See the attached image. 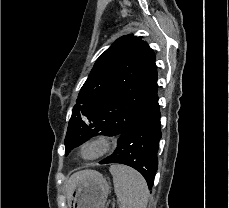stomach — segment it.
Masks as SVG:
<instances>
[{
    "label": "stomach",
    "instance_id": "stomach-1",
    "mask_svg": "<svg viewBox=\"0 0 229 208\" xmlns=\"http://www.w3.org/2000/svg\"><path fill=\"white\" fill-rule=\"evenodd\" d=\"M109 186L102 176L77 184L69 202V208H104Z\"/></svg>",
    "mask_w": 229,
    "mask_h": 208
}]
</instances>
